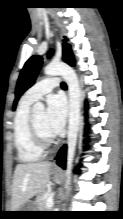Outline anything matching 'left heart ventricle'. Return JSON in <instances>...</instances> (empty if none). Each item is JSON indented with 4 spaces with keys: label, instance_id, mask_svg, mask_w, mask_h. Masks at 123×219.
<instances>
[{
    "label": "left heart ventricle",
    "instance_id": "b2bd125f",
    "mask_svg": "<svg viewBox=\"0 0 123 219\" xmlns=\"http://www.w3.org/2000/svg\"><path fill=\"white\" fill-rule=\"evenodd\" d=\"M34 119H35V122H36L39 130L41 131V133L44 136H46V137L53 136L51 134V132L49 131L48 127H47V124H46V113L45 112L36 113L34 115Z\"/></svg>",
    "mask_w": 123,
    "mask_h": 219
}]
</instances>
